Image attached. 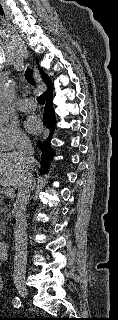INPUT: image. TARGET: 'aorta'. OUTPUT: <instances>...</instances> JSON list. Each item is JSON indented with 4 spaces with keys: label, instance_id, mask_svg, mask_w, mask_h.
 Wrapping results in <instances>:
<instances>
[{
    "label": "aorta",
    "instance_id": "obj_1",
    "mask_svg": "<svg viewBox=\"0 0 118 320\" xmlns=\"http://www.w3.org/2000/svg\"><path fill=\"white\" fill-rule=\"evenodd\" d=\"M14 96V86L12 82L0 84V121L5 122L9 119L11 105Z\"/></svg>",
    "mask_w": 118,
    "mask_h": 320
}]
</instances>
